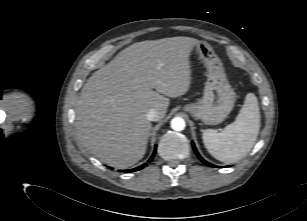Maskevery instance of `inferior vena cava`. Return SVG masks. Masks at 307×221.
<instances>
[{"label": "inferior vena cava", "instance_id": "1", "mask_svg": "<svg viewBox=\"0 0 307 221\" xmlns=\"http://www.w3.org/2000/svg\"><path fill=\"white\" fill-rule=\"evenodd\" d=\"M146 118L149 121H159L160 120L159 113L156 109H150L146 114Z\"/></svg>", "mask_w": 307, "mask_h": 221}]
</instances>
